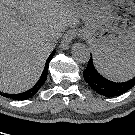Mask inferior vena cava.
<instances>
[{
    "label": "inferior vena cava",
    "instance_id": "obj_1",
    "mask_svg": "<svg viewBox=\"0 0 135 135\" xmlns=\"http://www.w3.org/2000/svg\"><path fill=\"white\" fill-rule=\"evenodd\" d=\"M59 38V35L58 34H55L52 39L50 40L51 44L52 45H55V42L57 41V39Z\"/></svg>",
    "mask_w": 135,
    "mask_h": 135
}]
</instances>
